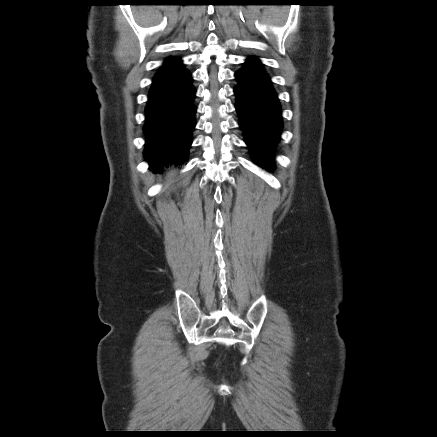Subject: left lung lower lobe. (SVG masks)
<instances>
[{
    "mask_svg": "<svg viewBox=\"0 0 437 437\" xmlns=\"http://www.w3.org/2000/svg\"><path fill=\"white\" fill-rule=\"evenodd\" d=\"M235 108L244 140L257 165L273 168V149L282 130L281 107L260 60L251 56L236 71Z\"/></svg>",
    "mask_w": 437,
    "mask_h": 437,
    "instance_id": "obj_1",
    "label": "left lung lower lobe"
}]
</instances>
